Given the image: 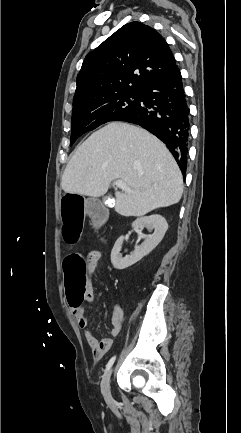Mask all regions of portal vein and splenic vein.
<instances>
[{
    "mask_svg": "<svg viewBox=\"0 0 241 433\" xmlns=\"http://www.w3.org/2000/svg\"><path fill=\"white\" fill-rule=\"evenodd\" d=\"M115 185L118 187V188H120V189H122V190H124V191H126V192H128V193H133V191L126 185V183L124 182V181H122V180H116L115 181Z\"/></svg>",
    "mask_w": 241,
    "mask_h": 433,
    "instance_id": "1",
    "label": "portal vein and splenic vein"
}]
</instances>
